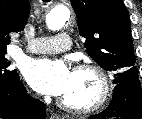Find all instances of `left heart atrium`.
I'll use <instances>...</instances> for the list:
<instances>
[{
  "instance_id": "left-heart-atrium-1",
  "label": "left heart atrium",
  "mask_w": 142,
  "mask_h": 119,
  "mask_svg": "<svg viewBox=\"0 0 142 119\" xmlns=\"http://www.w3.org/2000/svg\"><path fill=\"white\" fill-rule=\"evenodd\" d=\"M24 75L34 90L57 97L68 91L72 80V72L63 61L49 59L28 62Z\"/></svg>"
}]
</instances>
